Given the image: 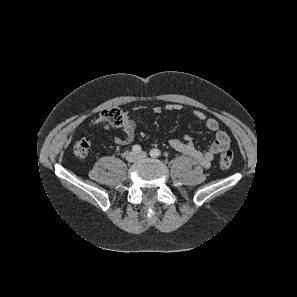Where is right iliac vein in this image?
<instances>
[{"instance_id":"1","label":"right iliac vein","mask_w":297,"mask_h":297,"mask_svg":"<svg viewBox=\"0 0 297 297\" xmlns=\"http://www.w3.org/2000/svg\"><path fill=\"white\" fill-rule=\"evenodd\" d=\"M138 159L137 154L135 152H128L126 154V160L128 162H135Z\"/></svg>"}]
</instances>
